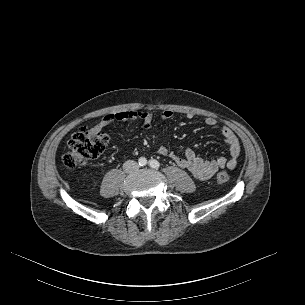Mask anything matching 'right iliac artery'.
Wrapping results in <instances>:
<instances>
[{
    "instance_id": "obj_1",
    "label": "right iliac artery",
    "mask_w": 305,
    "mask_h": 305,
    "mask_svg": "<svg viewBox=\"0 0 305 305\" xmlns=\"http://www.w3.org/2000/svg\"><path fill=\"white\" fill-rule=\"evenodd\" d=\"M140 166H145L147 164V160L144 157H141L138 161Z\"/></svg>"
}]
</instances>
